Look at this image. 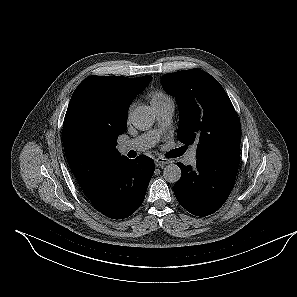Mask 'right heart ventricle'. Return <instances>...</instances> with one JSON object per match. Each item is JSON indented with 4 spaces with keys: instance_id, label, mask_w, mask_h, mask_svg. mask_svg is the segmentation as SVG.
Listing matches in <instances>:
<instances>
[{
    "instance_id": "right-heart-ventricle-1",
    "label": "right heart ventricle",
    "mask_w": 297,
    "mask_h": 297,
    "mask_svg": "<svg viewBox=\"0 0 297 297\" xmlns=\"http://www.w3.org/2000/svg\"><path fill=\"white\" fill-rule=\"evenodd\" d=\"M168 96L162 92H155L151 95V104L160 102Z\"/></svg>"
}]
</instances>
